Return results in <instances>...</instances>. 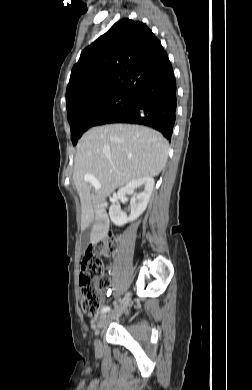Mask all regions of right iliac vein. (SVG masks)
<instances>
[{
  "label": "right iliac vein",
  "instance_id": "right-iliac-vein-1",
  "mask_svg": "<svg viewBox=\"0 0 252 390\" xmlns=\"http://www.w3.org/2000/svg\"><path fill=\"white\" fill-rule=\"evenodd\" d=\"M129 302H130V293L128 292L125 297L123 298L122 302H121V305L118 306L114 311L108 313V314H104L100 317V320L97 322V324L95 325L94 327V333H95V347L96 348H100L101 347V341L99 339V335L101 334L102 330L106 327V325L118 318L121 314H123L128 306H129Z\"/></svg>",
  "mask_w": 252,
  "mask_h": 390
}]
</instances>
